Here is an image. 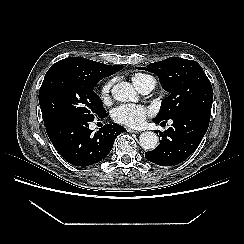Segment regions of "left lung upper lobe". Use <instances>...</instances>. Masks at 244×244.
I'll return each instance as SVG.
<instances>
[{"label":"left lung upper lobe","instance_id":"obj_1","mask_svg":"<svg viewBox=\"0 0 244 244\" xmlns=\"http://www.w3.org/2000/svg\"><path fill=\"white\" fill-rule=\"evenodd\" d=\"M138 69L155 73L162 87L170 93L155 119L168 120L190 111L211 115L212 86L196 61L170 57Z\"/></svg>","mask_w":244,"mask_h":244}]
</instances>
